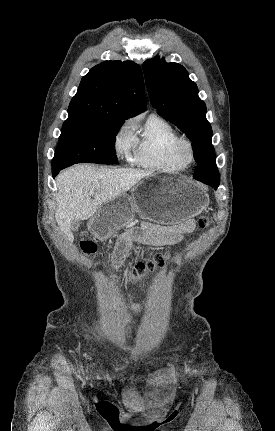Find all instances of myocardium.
I'll return each instance as SVG.
<instances>
[{
  "mask_svg": "<svg viewBox=\"0 0 275 431\" xmlns=\"http://www.w3.org/2000/svg\"><path fill=\"white\" fill-rule=\"evenodd\" d=\"M175 151L178 159L184 165H187L194 160V146L192 141L188 138H180L176 144Z\"/></svg>",
  "mask_w": 275,
  "mask_h": 431,
  "instance_id": "myocardium-1",
  "label": "myocardium"
}]
</instances>
